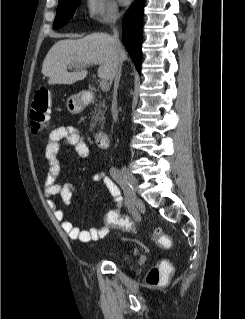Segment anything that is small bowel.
<instances>
[{"mask_svg": "<svg viewBox=\"0 0 245 319\" xmlns=\"http://www.w3.org/2000/svg\"><path fill=\"white\" fill-rule=\"evenodd\" d=\"M73 147L74 153L78 158H86L89 154V147L84 136L71 125H62L50 132L46 140L45 157L48 161V168L43 184V194L47 197L48 206L54 214L55 219L60 223L62 231L72 240H78L83 243L103 239L110 232V227L106 224L99 228H90L81 230L71 221L65 219L63 210L51 198L59 195L64 204L69 205L73 198L78 194L76 185L70 182H59L61 174V165L58 158L62 146ZM92 182L103 183L111 192V180L104 173H95L91 177ZM112 194V192H111ZM113 195V194H112ZM116 202L114 212L120 211L122 199L120 195H113Z\"/></svg>", "mask_w": 245, "mask_h": 319, "instance_id": "obj_1", "label": "small bowel"}]
</instances>
